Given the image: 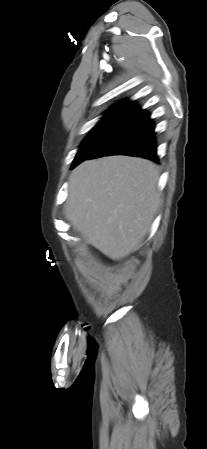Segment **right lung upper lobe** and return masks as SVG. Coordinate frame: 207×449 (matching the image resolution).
<instances>
[{"instance_id":"right-lung-upper-lobe-1","label":"right lung upper lobe","mask_w":207,"mask_h":449,"mask_svg":"<svg viewBox=\"0 0 207 449\" xmlns=\"http://www.w3.org/2000/svg\"><path fill=\"white\" fill-rule=\"evenodd\" d=\"M110 112H125V113H134L139 114L142 112V110L134 105L132 102H122L115 106H113V109L109 111Z\"/></svg>"}]
</instances>
